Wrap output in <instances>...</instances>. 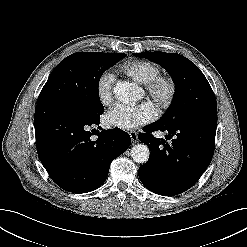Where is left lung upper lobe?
I'll list each match as a JSON object with an SVG mask.
<instances>
[{"label":"left lung upper lobe","mask_w":247,"mask_h":247,"mask_svg":"<svg viewBox=\"0 0 247 247\" xmlns=\"http://www.w3.org/2000/svg\"><path fill=\"white\" fill-rule=\"evenodd\" d=\"M160 64L172 76L176 92L173 102L159 123L171 125L182 120H217V104L204 74L186 57L159 51L133 53Z\"/></svg>","instance_id":"left-lung-upper-lobe-1"}]
</instances>
